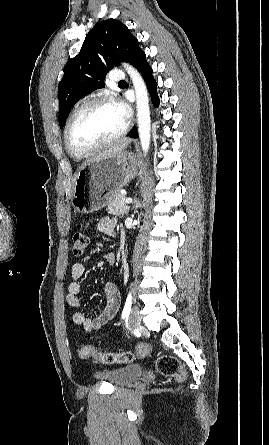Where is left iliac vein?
<instances>
[{"instance_id":"obj_1","label":"left iliac vein","mask_w":269,"mask_h":445,"mask_svg":"<svg viewBox=\"0 0 269 445\" xmlns=\"http://www.w3.org/2000/svg\"><path fill=\"white\" fill-rule=\"evenodd\" d=\"M140 324H141V317L139 314V309L137 306H134L129 316V327L131 330H134L138 328Z\"/></svg>"}]
</instances>
